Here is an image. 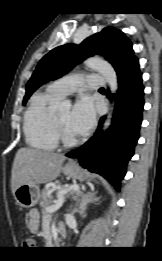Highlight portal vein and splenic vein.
<instances>
[{
	"label": "portal vein and splenic vein",
	"instance_id": "portal-vein-and-splenic-vein-1",
	"mask_svg": "<svg viewBox=\"0 0 162 261\" xmlns=\"http://www.w3.org/2000/svg\"><path fill=\"white\" fill-rule=\"evenodd\" d=\"M70 190L78 191L79 190V185L75 184V185L67 186L66 189L60 190L59 193H58V200L55 202L54 205L47 206L46 207V212L53 213L56 210H58L64 203L63 195L66 194L67 192H69Z\"/></svg>",
	"mask_w": 162,
	"mask_h": 261
}]
</instances>
